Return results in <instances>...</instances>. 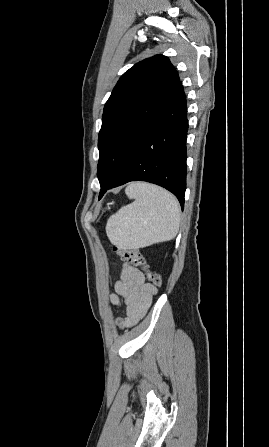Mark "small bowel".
Returning a JSON list of instances; mask_svg holds the SVG:
<instances>
[{
  "label": "small bowel",
  "mask_w": 269,
  "mask_h": 447,
  "mask_svg": "<svg viewBox=\"0 0 269 447\" xmlns=\"http://www.w3.org/2000/svg\"><path fill=\"white\" fill-rule=\"evenodd\" d=\"M156 294L157 288L145 280L142 271L124 263L115 283V293L110 295L112 304L122 308L125 314L118 319V324L123 327L136 324L146 314Z\"/></svg>",
  "instance_id": "obj_1"
}]
</instances>
